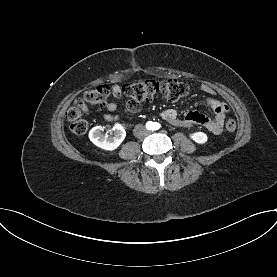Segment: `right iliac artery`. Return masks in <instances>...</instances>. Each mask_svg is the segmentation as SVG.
<instances>
[{
	"label": "right iliac artery",
	"mask_w": 277,
	"mask_h": 277,
	"mask_svg": "<svg viewBox=\"0 0 277 277\" xmlns=\"http://www.w3.org/2000/svg\"><path fill=\"white\" fill-rule=\"evenodd\" d=\"M148 125L151 127L153 124L151 122H149Z\"/></svg>",
	"instance_id": "1"
}]
</instances>
